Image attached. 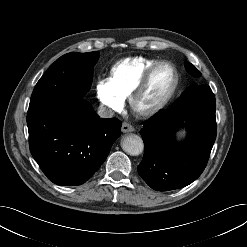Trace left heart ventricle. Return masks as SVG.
I'll use <instances>...</instances> for the list:
<instances>
[{
  "label": "left heart ventricle",
  "mask_w": 247,
  "mask_h": 247,
  "mask_svg": "<svg viewBox=\"0 0 247 247\" xmlns=\"http://www.w3.org/2000/svg\"><path fill=\"white\" fill-rule=\"evenodd\" d=\"M174 72L168 65L160 66L151 76L147 87L137 102V109L144 111L160 102L171 88Z\"/></svg>",
  "instance_id": "obj_1"
}]
</instances>
